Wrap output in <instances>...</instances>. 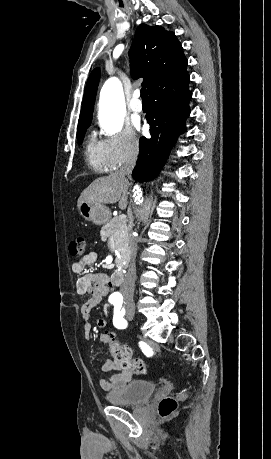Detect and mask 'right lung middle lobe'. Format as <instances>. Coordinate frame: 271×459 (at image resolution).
<instances>
[{
    "label": "right lung middle lobe",
    "instance_id": "1",
    "mask_svg": "<svg viewBox=\"0 0 271 459\" xmlns=\"http://www.w3.org/2000/svg\"><path fill=\"white\" fill-rule=\"evenodd\" d=\"M91 119L79 121L78 123V130H77V140L79 143L82 142L84 134L88 126L90 125Z\"/></svg>",
    "mask_w": 271,
    "mask_h": 459
}]
</instances>
